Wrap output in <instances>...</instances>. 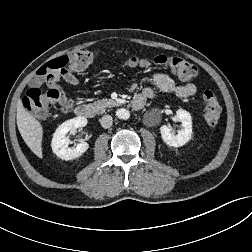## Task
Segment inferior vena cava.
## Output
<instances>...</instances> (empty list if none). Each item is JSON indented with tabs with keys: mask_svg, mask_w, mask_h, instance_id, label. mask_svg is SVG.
I'll list each match as a JSON object with an SVG mask.
<instances>
[{
	"mask_svg": "<svg viewBox=\"0 0 252 252\" xmlns=\"http://www.w3.org/2000/svg\"><path fill=\"white\" fill-rule=\"evenodd\" d=\"M101 126L105 129L110 128L113 124V118L110 115H104L100 119Z\"/></svg>",
	"mask_w": 252,
	"mask_h": 252,
	"instance_id": "obj_1",
	"label": "inferior vena cava"
}]
</instances>
